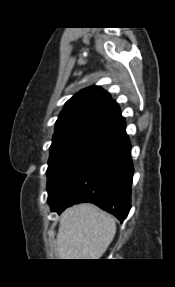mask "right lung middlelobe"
Returning a JSON list of instances; mask_svg holds the SVG:
<instances>
[{
  "instance_id": "right-lung-middle-lobe-1",
  "label": "right lung middle lobe",
  "mask_w": 175,
  "mask_h": 287,
  "mask_svg": "<svg viewBox=\"0 0 175 287\" xmlns=\"http://www.w3.org/2000/svg\"><path fill=\"white\" fill-rule=\"evenodd\" d=\"M114 130L113 126L91 124L55 131L46 172L48 193L71 168Z\"/></svg>"
}]
</instances>
